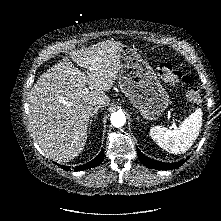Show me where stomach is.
I'll return each instance as SVG.
<instances>
[{
  "mask_svg": "<svg viewBox=\"0 0 221 221\" xmlns=\"http://www.w3.org/2000/svg\"><path fill=\"white\" fill-rule=\"evenodd\" d=\"M119 87L146 120H157L169 104V95L152 67L127 45L118 49Z\"/></svg>",
  "mask_w": 221,
  "mask_h": 221,
  "instance_id": "obj_1",
  "label": "stomach"
}]
</instances>
